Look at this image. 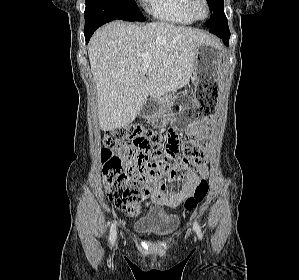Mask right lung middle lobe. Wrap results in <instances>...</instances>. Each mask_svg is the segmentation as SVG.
<instances>
[{
    "label": "right lung middle lobe",
    "mask_w": 299,
    "mask_h": 280,
    "mask_svg": "<svg viewBox=\"0 0 299 280\" xmlns=\"http://www.w3.org/2000/svg\"><path fill=\"white\" fill-rule=\"evenodd\" d=\"M130 15L134 21L143 22L145 17L142 15L135 0H108Z\"/></svg>",
    "instance_id": "right-lung-middle-lobe-1"
}]
</instances>
